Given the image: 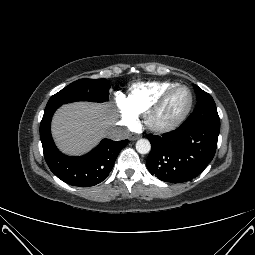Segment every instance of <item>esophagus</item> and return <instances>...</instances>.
<instances>
[{
  "label": "esophagus",
  "mask_w": 255,
  "mask_h": 255,
  "mask_svg": "<svg viewBox=\"0 0 255 255\" xmlns=\"http://www.w3.org/2000/svg\"><path fill=\"white\" fill-rule=\"evenodd\" d=\"M141 136L139 134H130L129 135V140L131 141H135L137 139H139Z\"/></svg>",
  "instance_id": "1"
}]
</instances>
